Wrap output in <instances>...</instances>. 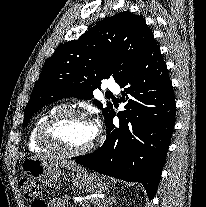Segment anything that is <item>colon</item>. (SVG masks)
<instances>
[{"label": "colon", "mask_w": 206, "mask_h": 207, "mask_svg": "<svg viewBox=\"0 0 206 207\" xmlns=\"http://www.w3.org/2000/svg\"><path fill=\"white\" fill-rule=\"evenodd\" d=\"M19 183L25 198L32 203V207H46L45 201L38 196L37 184L32 179L21 176Z\"/></svg>", "instance_id": "obj_1"}]
</instances>
